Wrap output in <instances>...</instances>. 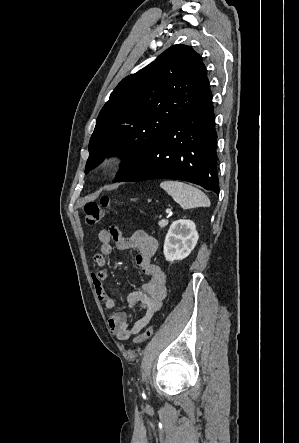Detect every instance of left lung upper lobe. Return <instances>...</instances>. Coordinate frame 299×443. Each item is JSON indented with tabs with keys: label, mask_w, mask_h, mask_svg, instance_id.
I'll return each instance as SVG.
<instances>
[{
	"label": "left lung upper lobe",
	"mask_w": 299,
	"mask_h": 443,
	"mask_svg": "<svg viewBox=\"0 0 299 443\" xmlns=\"http://www.w3.org/2000/svg\"><path fill=\"white\" fill-rule=\"evenodd\" d=\"M208 86L200 55L181 44L124 78L99 113L85 173L107 155L118 154L123 162L117 181L136 166Z\"/></svg>",
	"instance_id": "5c2ea615"
}]
</instances>
